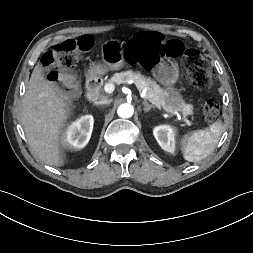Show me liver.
Here are the masks:
<instances>
[{
  "label": "liver",
  "mask_w": 253,
  "mask_h": 253,
  "mask_svg": "<svg viewBox=\"0 0 253 253\" xmlns=\"http://www.w3.org/2000/svg\"><path fill=\"white\" fill-rule=\"evenodd\" d=\"M71 112L67 98L36 65L22 100L21 124L32 151L45 164L64 165V128Z\"/></svg>",
  "instance_id": "6515ba94"
}]
</instances>
